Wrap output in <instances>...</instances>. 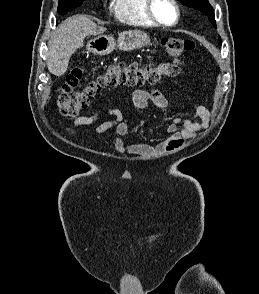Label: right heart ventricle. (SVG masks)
I'll list each match as a JSON object with an SVG mask.
<instances>
[{
	"instance_id": "obj_1",
	"label": "right heart ventricle",
	"mask_w": 259,
	"mask_h": 294,
	"mask_svg": "<svg viewBox=\"0 0 259 294\" xmlns=\"http://www.w3.org/2000/svg\"><path fill=\"white\" fill-rule=\"evenodd\" d=\"M111 10L114 17L121 23L155 27L145 13V0H112Z\"/></svg>"
}]
</instances>
